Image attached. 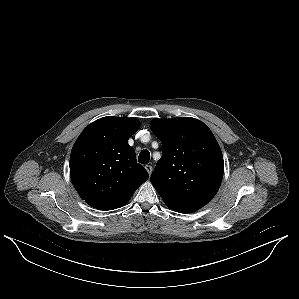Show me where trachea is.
Returning a JSON list of instances; mask_svg holds the SVG:
<instances>
[{
	"instance_id": "3493384b",
	"label": "trachea",
	"mask_w": 299,
	"mask_h": 299,
	"mask_svg": "<svg viewBox=\"0 0 299 299\" xmlns=\"http://www.w3.org/2000/svg\"><path fill=\"white\" fill-rule=\"evenodd\" d=\"M150 160V152L148 150H143L139 154L138 161L141 164H147Z\"/></svg>"
}]
</instances>
